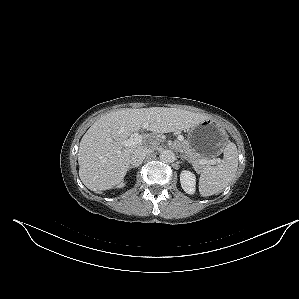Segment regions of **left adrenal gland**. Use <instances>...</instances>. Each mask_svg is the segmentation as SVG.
Instances as JSON below:
<instances>
[{
  "label": "left adrenal gland",
  "mask_w": 299,
  "mask_h": 299,
  "mask_svg": "<svg viewBox=\"0 0 299 299\" xmlns=\"http://www.w3.org/2000/svg\"><path fill=\"white\" fill-rule=\"evenodd\" d=\"M180 157H181L182 160H188L187 157L183 153L180 154Z\"/></svg>",
  "instance_id": "a2214340"
}]
</instances>
